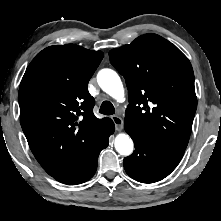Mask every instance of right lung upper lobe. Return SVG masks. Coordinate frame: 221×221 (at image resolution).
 <instances>
[{"label":"right lung upper lobe","mask_w":221,"mask_h":221,"mask_svg":"<svg viewBox=\"0 0 221 221\" xmlns=\"http://www.w3.org/2000/svg\"><path fill=\"white\" fill-rule=\"evenodd\" d=\"M103 58L74 44L42 50L19 88L20 122L35 158L51 176L77 161L109 123L93 114L88 82Z\"/></svg>","instance_id":"obj_1"}]
</instances>
